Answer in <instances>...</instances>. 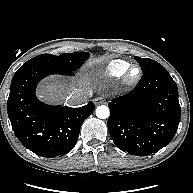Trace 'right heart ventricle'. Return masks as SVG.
Wrapping results in <instances>:
<instances>
[{
  "instance_id": "e07e8e85",
  "label": "right heart ventricle",
  "mask_w": 193,
  "mask_h": 193,
  "mask_svg": "<svg viewBox=\"0 0 193 193\" xmlns=\"http://www.w3.org/2000/svg\"><path fill=\"white\" fill-rule=\"evenodd\" d=\"M130 66V63L122 60L115 59L109 61L104 68V75L110 78H118L124 74L127 68Z\"/></svg>"
}]
</instances>
